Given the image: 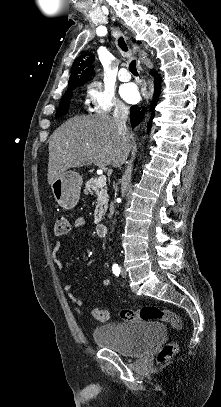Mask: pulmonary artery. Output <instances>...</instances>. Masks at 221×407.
<instances>
[{"label": "pulmonary artery", "mask_w": 221, "mask_h": 407, "mask_svg": "<svg viewBox=\"0 0 221 407\" xmlns=\"http://www.w3.org/2000/svg\"><path fill=\"white\" fill-rule=\"evenodd\" d=\"M118 79L122 82H127L131 79L130 74L128 73L126 68H121L118 72Z\"/></svg>", "instance_id": "1"}]
</instances>
